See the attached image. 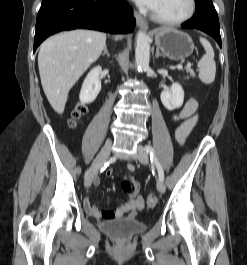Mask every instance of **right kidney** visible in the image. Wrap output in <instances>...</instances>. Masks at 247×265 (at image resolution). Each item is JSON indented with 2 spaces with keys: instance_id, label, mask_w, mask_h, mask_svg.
Instances as JSON below:
<instances>
[{
  "instance_id": "1",
  "label": "right kidney",
  "mask_w": 247,
  "mask_h": 265,
  "mask_svg": "<svg viewBox=\"0 0 247 265\" xmlns=\"http://www.w3.org/2000/svg\"><path fill=\"white\" fill-rule=\"evenodd\" d=\"M102 68H93L86 76L80 91L79 99L81 103L93 102L101 90V80L99 78Z\"/></svg>"
}]
</instances>
